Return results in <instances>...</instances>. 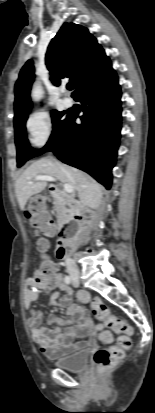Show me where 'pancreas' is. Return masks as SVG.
Returning a JSON list of instances; mask_svg holds the SVG:
<instances>
[{
	"label": "pancreas",
	"instance_id": "obj_1",
	"mask_svg": "<svg viewBox=\"0 0 155 413\" xmlns=\"http://www.w3.org/2000/svg\"><path fill=\"white\" fill-rule=\"evenodd\" d=\"M53 204H54V209L57 213V220L58 222H61L64 217L66 216H71L70 215V209L66 207L64 202L61 200L60 195H53Z\"/></svg>",
	"mask_w": 155,
	"mask_h": 413
}]
</instances>
